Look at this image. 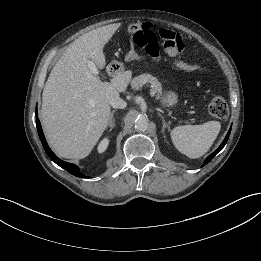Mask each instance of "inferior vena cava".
Here are the masks:
<instances>
[{"mask_svg": "<svg viewBox=\"0 0 261 261\" xmlns=\"http://www.w3.org/2000/svg\"><path fill=\"white\" fill-rule=\"evenodd\" d=\"M110 105L113 108L123 109L126 107L127 104L123 99L119 98V96H118V97H113L110 99Z\"/></svg>", "mask_w": 261, "mask_h": 261, "instance_id": "1", "label": "inferior vena cava"}]
</instances>
